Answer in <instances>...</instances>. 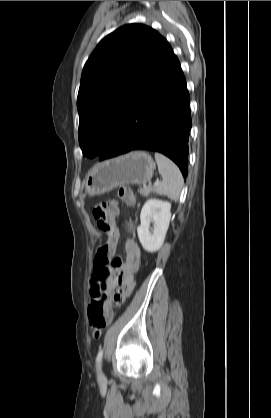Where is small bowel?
<instances>
[{"label":"small bowel","mask_w":271,"mask_h":418,"mask_svg":"<svg viewBox=\"0 0 271 418\" xmlns=\"http://www.w3.org/2000/svg\"><path fill=\"white\" fill-rule=\"evenodd\" d=\"M115 239L110 240L111 243L114 242ZM127 250V262L125 267L113 276H109L101 285L103 286L105 292L113 293L115 288L119 285L120 289L118 293H114V299L117 302L123 301L127 298L133 288H134V279L133 273L136 272L140 266V250L137 244L133 241H128L126 244ZM98 286V283L92 279L91 285V295L93 291Z\"/></svg>","instance_id":"obj_1"}]
</instances>
